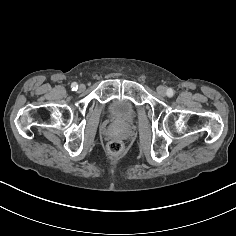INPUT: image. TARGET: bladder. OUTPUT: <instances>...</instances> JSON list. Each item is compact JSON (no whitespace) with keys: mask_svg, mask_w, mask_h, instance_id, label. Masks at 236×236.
Returning a JSON list of instances; mask_svg holds the SVG:
<instances>
[{"mask_svg":"<svg viewBox=\"0 0 236 236\" xmlns=\"http://www.w3.org/2000/svg\"><path fill=\"white\" fill-rule=\"evenodd\" d=\"M108 116L113 121L128 125L136 118L135 106L125 98H114L108 105Z\"/></svg>","mask_w":236,"mask_h":236,"instance_id":"bladder-1","label":"bladder"}]
</instances>
